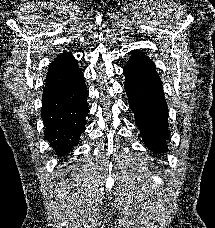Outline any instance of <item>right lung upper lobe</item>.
Here are the masks:
<instances>
[{
	"label": "right lung upper lobe",
	"instance_id": "obj_1",
	"mask_svg": "<svg viewBox=\"0 0 215 228\" xmlns=\"http://www.w3.org/2000/svg\"><path fill=\"white\" fill-rule=\"evenodd\" d=\"M80 75H82V72L78 67V63L74 56L68 52L61 53L49 65V71L46 78L42 100H46L47 98L53 96L62 88L63 85H58L53 81L75 79Z\"/></svg>",
	"mask_w": 215,
	"mask_h": 228
}]
</instances>
